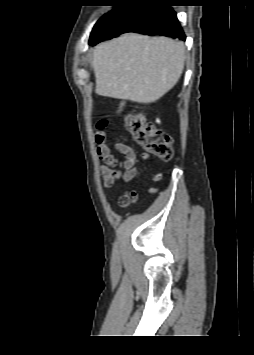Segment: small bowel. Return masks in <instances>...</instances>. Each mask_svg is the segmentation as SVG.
Here are the masks:
<instances>
[{"instance_id":"small-bowel-1","label":"small bowel","mask_w":254,"mask_h":355,"mask_svg":"<svg viewBox=\"0 0 254 355\" xmlns=\"http://www.w3.org/2000/svg\"><path fill=\"white\" fill-rule=\"evenodd\" d=\"M105 121L106 126L108 125V121ZM104 127V128H105ZM104 128L98 127L96 132V152L99 159L103 162L100 167L102 184L105 189H110L117 182L128 183L134 179H136L139 175V171L135 166L136 163V153L132 147L129 145L116 141L114 142V148L123 155L124 159L122 161H118L116 157L113 155L110 144L106 138V134ZM143 159L147 160L148 157L146 155L143 156ZM162 173H155L150 177V180L153 182H158L162 180ZM155 188H151L150 192H155ZM133 194V195H132ZM137 192L136 190H128L124 192L120 199L119 205L122 208L127 207L131 201L136 199Z\"/></svg>"}]
</instances>
